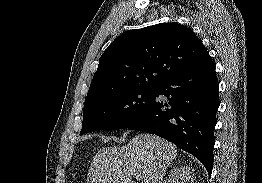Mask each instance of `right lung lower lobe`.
Instances as JSON below:
<instances>
[{
  "label": "right lung lower lobe",
  "mask_w": 262,
  "mask_h": 183,
  "mask_svg": "<svg viewBox=\"0 0 262 183\" xmlns=\"http://www.w3.org/2000/svg\"><path fill=\"white\" fill-rule=\"evenodd\" d=\"M219 82L215 64L175 75L156 87L152 103L126 128L156 134L213 167ZM163 95L167 100H161Z\"/></svg>",
  "instance_id": "1"
}]
</instances>
